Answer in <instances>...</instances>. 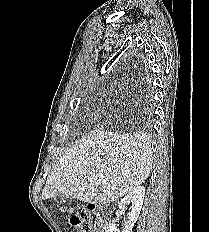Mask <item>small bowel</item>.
Wrapping results in <instances>:
<instances>
[{"instance_id": "small-bowel-1", "label": "small bowel", "mask_w": 209, "mask_h": 232, "mask_svg": "<svg viewBox=\"0 0 209 232\" xmlns=\"http://www.w3.org/2000/svg\"><path fill=\"white\" fill-rule=\"evenodd\" d=\"M95 232H99V230L98 229H96V231Z\"/></svg>"}]
</instances>
